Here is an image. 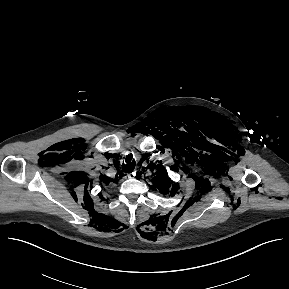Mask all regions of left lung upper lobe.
<instances>
[{
    "label": "left lung upper lobe",
    "instance_id": "1",
    "mask_svg": "<svg viewBox=\"0 0 289 289\" xmlns=\"http://www.w3.org/2000/svg\"><path fill=\"white\" fill-rule=\"evenodd\" d=\"M159 174L155 177L154 179V189H156V187L160 190L161 193L163 194H167L169 193V187H168V183L169 180L166 176V171L165 169L162 167L160 168V170H158ZM175 190H172L170 193H175Z\"/></svg>",
    "mask_w": 289,
    "mask_h": 289
}]
</instances>
